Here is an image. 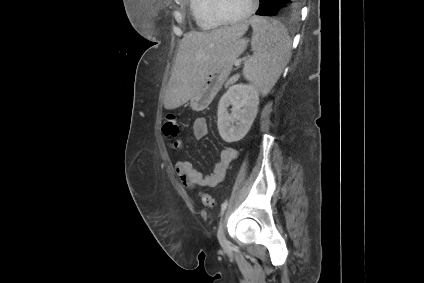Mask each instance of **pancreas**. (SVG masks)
<instances>
[{
  "instance_id": "1",
  "label": "pancreas",
  "mask_w": 424,
  "mask_h": 283,
  "mask_svg": "<svg viewBox=\"0 0 424 283\" xmlns=\"http://www.w3.org/2000/svg\"><path fill=\"white\" fill-rule=\"evenodd\" d=\"M239 79V74L234 75L233 77H231L230 79L227 80V82L225 83V88L230 87L231 85H233L236 81H238Z\"/></svg>"
}]
</instances>
